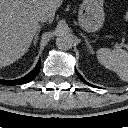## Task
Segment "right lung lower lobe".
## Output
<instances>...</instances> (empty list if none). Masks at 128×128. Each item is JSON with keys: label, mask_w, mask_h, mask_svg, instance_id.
Masks as SVG:
<instances>
[{"label": "right lung lower lobe", "mask_w": 128, "mask_h": 128, "mask_svg": "<svg viewBox=\"0 0 128 128\" xmlns=\"http://www.w3.org/2000/svg\"><path fill=\"white\" fill-rule=\"evenodd\" d=\"M40 60L37 63L36 67L25 77L17 79V80H2L0 79V84H4V85H20V84H25L28 83L30 81H32L39 73L40 71Z\"/></svg>", "instance_id": "right-lung-lower-lobe-1"}]
</instances>
